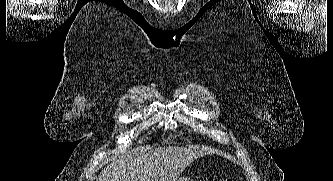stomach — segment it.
<instances>
[{
	"mask_svg": "<svg viewBox=\"0 0 333 181\" xmlns=\"http://www.w3.org/2000/svg\"><path fill=\"white\" fill-rule=\"evenodd\" d=\"M177 181H193V180L188 176H181L177 179Z\"/></svg>",
	"mask_w": 333,
	"mask_h": 181,
	"instance_id": "stomach-1",
	"label": "stomach"
}]
</instances>
